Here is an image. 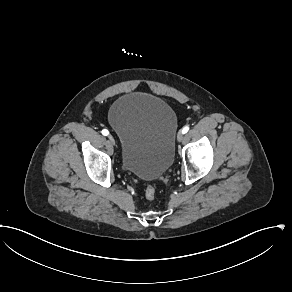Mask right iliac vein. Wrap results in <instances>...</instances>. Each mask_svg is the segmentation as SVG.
<instances>
[{"label":"right iliac vein","instance_id":"63e3f726","mask_svg":"<svg viewBox=\"0 0 292 292\" xmlns=\"http://www.w3.org/2000/svg\"><path fill=\"white\" fill-rule=\"evenodd\" d=\"M108 139H109V141H110V143H111L112 145L115 144V140H114L113 136L109 135V136H108Z\"/></svg>","mask_w":292,"mask_h":292}]
</instances>
